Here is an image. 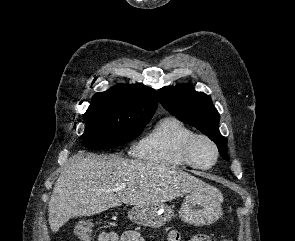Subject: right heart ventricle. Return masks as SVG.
I'll return each instance as SVG.
<instances>
[{
    "mask_svg": "<svg viewBox=\"0 0 295 241\" xmlns=\"http://www.w3.org/2000/svg\"><path fill=\"white\" fill-rule=\"evenodd\" d=\"M192 134L194 131L181 120L165 117L140 141L135 153L153 164L183 167L187 165L182 154L183 145Z\"/></svg>",
    "mask_w": 295,
    "mask_h": 241,
    "instance_id": "1",
    "label": "right heart ventricle"
}]
</instances>
